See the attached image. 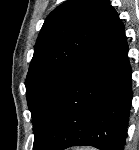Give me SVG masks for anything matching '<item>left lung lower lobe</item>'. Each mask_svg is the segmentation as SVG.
<instances>
[{
  "label": "left lung lower lobe",
  "mask_w": 139,
  "mask_h": 150,
  "mask_svg": "<svg viewBox=\"0 0 139 150\" xmlns=\"http://www.w3.org/2000/svg\"><path fill=\"white\" fill-rule=\"evenodd\" d=\"M131 81L124 25L112 7L57 94L33 149L89 145L122 150L131 109Z\"/></svg>",
  "instance_id": "left-lung-lower-lobe-1"
}]
</instances>
